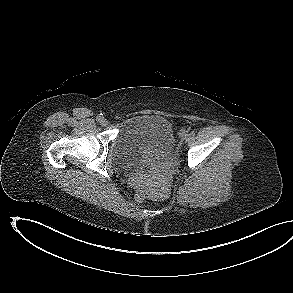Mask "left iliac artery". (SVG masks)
I'll return each instance as SVG.
<instances>
[{"label": "left iliac artery", "mask_w": 293, "mask_h": 293, "mask_svg": "<svg viewBox=\"0 0 293 293\" xmlns=\"http://www.w3.org/2000/svg\"><path fill=\"white\" fill-rule=\"evenodd\" d=\"M189 135L193 137L195 135V131H191Z\"/></svg>", "instance_id": "obj_1"}]
</instances>
